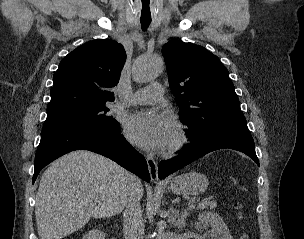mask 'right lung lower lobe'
I'll use <instances>...</instances> for the list:
<instances>
[{"mask_svg": "<svg viewBox=\"0 0 304 239\" xmlns=\"http://www.w3.org/2000/svg\"><path fill=\"white\" fill-rule=\"evenodd\" d=\"M80 149L108 157L146 182L150 181L145 158L120 134V128L110 132L70 128L41 132L32 183L47 164L68 152Z\"/></svg>", "mask_w": 304, "mask_h": 239, "instance_id": "98d812e1", "label": "right lung lower lobe"}]
</instances>
